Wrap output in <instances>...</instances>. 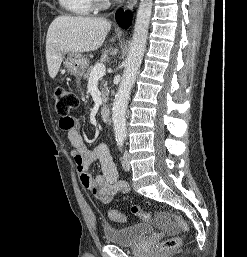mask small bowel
Instances as JSON below:
<instances>
[{"label":"small bowel","instance_id":"c3829d8e","mask_svg":"<svg viewBox=\"0 0 247 257\" xmlns=\"http://www.w3.org/2000/svg\"><path fill=\"white\" fill-rule=\"evenodd\" d=\"M59 124L73 147L71 154L80 181L97 200L109 203L117 194L128 190V184L118 180V172L106 144L100 143L92 149L87 147L79 132L80 123L77 118L71 117L69 126L63 125L61 120ZM95 161L100 163L101 173L93 177L89 173V167ZM156 223L169 233L177 230L176 225L167 217H159Z\"/></svg>","mask_w":247,"mask_h":257}]
</instances>
